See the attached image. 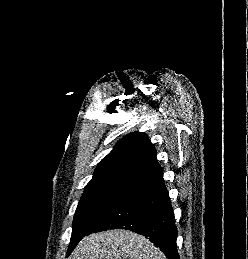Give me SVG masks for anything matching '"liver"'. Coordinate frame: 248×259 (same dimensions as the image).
I'll return each instance as SVG.
<instances>
[{
  "mask_svg": "<svg viewBox=\"0 0 248 259\" xmlns=\"http://www.w3.org/2000/svg\"><path fill=\"white\" fill-rule=\"evenodd\" d=\"M72 259H167L144 236L128 230H110L85 236Z\"/></svg>",
  "mask_w": 248,
  "mask_h": 259,
  "instance_id": "liver-1",
  "label": "liver"
}]
</instances>
